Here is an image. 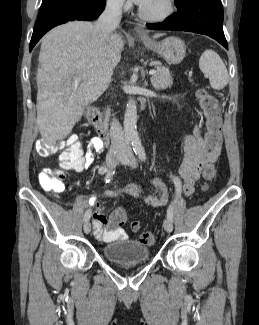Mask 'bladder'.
<instances>
[{
  "label": "bladder",
  "instance_id": "1",
  "mask_svg": "<svg viewBox=\"0 0 259 325\" xmlns=\"http://www.w3.org/2000/svg\"><path fill=\"white\" fill-rule=\"evenodd\" d=\"M103 256L110 262L122 265L143 263L149 259L148 246L140 241L124 239L106 244Z\"/></svg>",
  "mask_w": 259,
  "mask_h": 325
}]
</instances>
